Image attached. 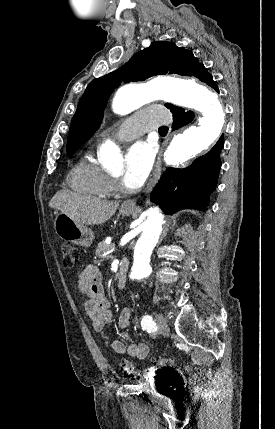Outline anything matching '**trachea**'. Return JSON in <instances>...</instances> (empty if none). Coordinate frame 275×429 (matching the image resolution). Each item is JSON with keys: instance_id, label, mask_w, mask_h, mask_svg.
Here are the masks:
<instances>
[{"instance_id": "1", "label": "trachea", "mask_w": 275, "mask_h": 429, "mask_svg": "<svg viewBox=\"0 0 275 429\" xmlns=\"http://www.w3.org/2000/svg\"><path fill=\"white\" fill-rule=\"evenodd\" d=\"M159 132H167L168 131V127L167 126H162L158 129Z\"/></svg>"}]
</instances>
